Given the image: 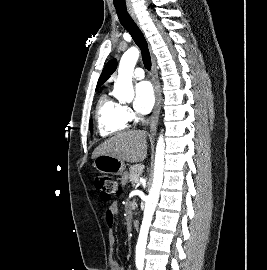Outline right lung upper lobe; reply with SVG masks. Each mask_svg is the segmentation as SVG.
<instances>
[{"instance_id":"right-lung-upper-lobe-1","label":"right lung upper lobe","mask_w":267,"mask_h":270,"mask_svg":"<svg viewBox=\"0 0 267 270\" xmlns=\"http://www.w3.org/2000/svg\"><path fill=\"white\" fill-rule=\"evenodd\" d=\"M116 68H117L116 59L110 60L104 67L96 88H99L103 83H105L107 79L110 77V75L116 70Z\"/></svg>"}]
</instances>
